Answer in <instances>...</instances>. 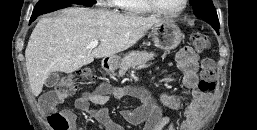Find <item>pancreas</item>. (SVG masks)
<instances>
[{
	"instance_id": "cf45deb5",
	"label": "pancreas",
	"mask_w": 257,
	"mask_h": 130,
	"mask_svg": "<svg viewBox=\"0 0 257 130\" xmlns=\"http://www.w3.org/2000/svg\"><path fill=\"white\" fill-rule=\"evenodd\" d=\"M154 53H148L145 51H132L127 54L120 63L119 75L124 76L126 71L130 68H136L138 66L146 64L148 61L154 59Z\"/></svg>"
}]
</instances>
